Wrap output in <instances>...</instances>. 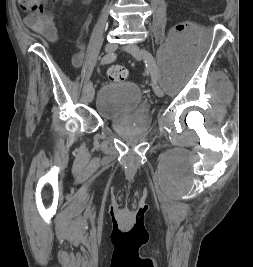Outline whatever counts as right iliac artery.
Listing matches in <instances>:
<instances>
[{
	"mask_svg": "<svg viewBox=\"0 0 253 267\" xmlns=\"http://www.w3.org/2000/svg\"><path fill=\"white\" fill-rule=\"evenodd\" d=\"M117 58V55L115 53H109L106 54L102 59L100 64L104 65V64H108V63H112L113 61H115V59ZM92 86L91 81H87L86 83V90H88L90 87Z\"/></svg>",
	"mask_w": 253,
	"mask_h": 267,
	"instance_id": "right-iliac-artery-1",
	"label": "right iliac artery"
}]
</instances>
